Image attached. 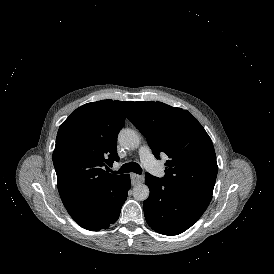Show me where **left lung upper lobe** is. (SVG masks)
Listing matches in <instances>:
<instances>
[{
    "label": "left lung upper lobe",
    "instance_id": "1",
    "mask_svg": "<svg viewBox=\"0 0 274 274\" xmlns=\"http://www.w3.org/2000/svg\"><path fill=\"white\" fill-rule=\"evenodd\" d=\"M127 118L146 137L155 156L169 157L164 181L212 196L218 171L214 147L188 111L162 102H135Z\"/></svg>",
    "mask_w": 274,
    "mask_h": 274
}]
</instances>
